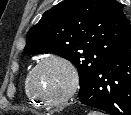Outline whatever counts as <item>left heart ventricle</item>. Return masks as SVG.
I'll use <instances>...</instances> for the list:
<instances>
[{
  "label": "left heart ventricle",
  "instance_id": "left-heart-ventricle-1",
  "mask_svg": "<svg viewBox=\"0 0 131 115\" xmlns=\"http://www.w3.org/2000/svg\"><path fill=\"white\" fill-rule=\"evenodd\" d=\"M70 83L68 70L59 63H48L35 73V92L45 98H57L64 93Z\"/></svg>",
  "mask_w": 131,
  "mask_h": 115
}]
</instances>
